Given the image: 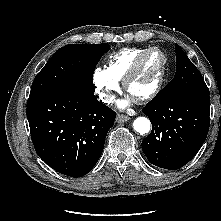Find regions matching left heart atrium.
<instances>
[{
	"label": "left heart atrium",
	"instance_id": "39dd6f15",
	"mask_svg": "<svg viewBox=\"0 0 221 221\" xmlns=\"http://www.w3.org/2000/svg\"><path fill=\"white\" fill-rule=\"evenodd\" d=\"M119 105H120V106H124V105H125V102H120Z\"/></svg>",
	"mask_w": 221,
	"mask_h": 221
}]
</instances>
